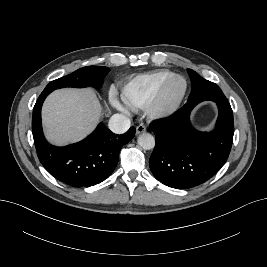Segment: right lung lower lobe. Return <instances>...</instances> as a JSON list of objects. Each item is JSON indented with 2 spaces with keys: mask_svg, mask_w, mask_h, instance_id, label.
<instances>
[{
  "mask_svg": "<svg viewBox=\"0 0 267 267\" xmlns=\"http://www.w3.org/2000/svg\"><path fill=\"white\" fill-rule=\"evenodd\" d=\"M51 92L44 90L33 109L32 131L40 162L51 175L70 186L99 184L114 171L120 149L132 140L135 128L117 135L100 123L92 134L78 143L65 147L53 146L46 141L41 126V107Z\"/></svg>",
  "mask_w": 267,
  "mask_h": 267,
  "instance_id": "obj_1",
  "label": "right lung lower lobe"
}]
</instances>
